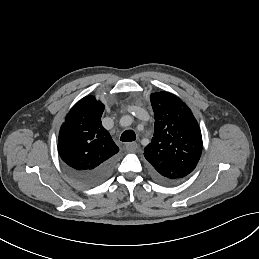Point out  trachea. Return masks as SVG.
<instances>
[{
    "mask_svg": "<svg viewBox=\"0 0 259 259\" xmlns=\"http://www.w3.org/2000/svg\"><path fill=\"white\" fill-rule=\"evenodd\" d=\"M136 135L133 130H126L125 132L122 133L120 140L123 142H131L135 141Z\"/></svg>",
    "mask_w": 259,
    "mask_h": 259,
    "instance_id": "obj_1",
    "label": "trachea"
}]
</instances>
